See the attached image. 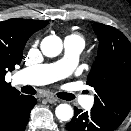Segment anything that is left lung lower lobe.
I'll use <instances>...</instances> for the list:
<instances>
[{
  "mask_svg": "<svg viewBox=\"0 0 131 131\" xmlns=\"http://www.w3.org/2000/svg\"><path fill=\"white\" fill-rule=\"evenodd\" d=\"M69 131H114L117 129L98 111L91 109L90 112H83L74 108V117L66 124Z\"/></svg>",
  "mask_w": 131,
  "mask_h": 131,
  "instance_id": "0a47b994",
  "label": "left lung lower lobe"
}]
</instances>
